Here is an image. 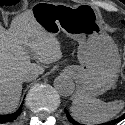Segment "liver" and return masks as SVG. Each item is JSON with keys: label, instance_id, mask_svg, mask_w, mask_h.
I'll return each instance as SVG.
<instances>
[{"label": "liver", "instance_id": "6515ba94", "mask_svg": "<svg viewBox=\"0 0 125 125\" xmlns=\"http://www.w3.org/2000/svg\"><path fill=\"white\" fill-rule=\"evenodd\" d=\"M48 65L62 58L60 43L46 33L29 10L16 16L7 30L0 24V114L13 112L19 105L22 76L44 72Z\"/></svg>", "mask_w": 125, "mask_h": 125}]
</instances>
